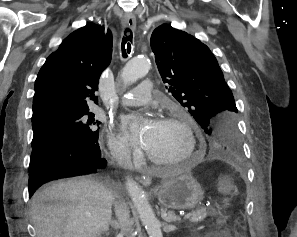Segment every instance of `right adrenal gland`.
I'll return each instance as SVG.
<instances>
[{
  "mask_svg": "<svg viewBox=\"0 0 297 237\" xmlns=\"http://www.w3.org/2000/svg\"><path fill=\"white\" fill-rule=\"evenodd\" d=\"M111 226L114 227L116 230L120 229V224L116 220H111Z\"/></svg>",
  "mask_w": 297,
  "mask_h": 237,
  "instance_id": "obj_1",
  "label": "right adrenal gland"
}]
</instances>
